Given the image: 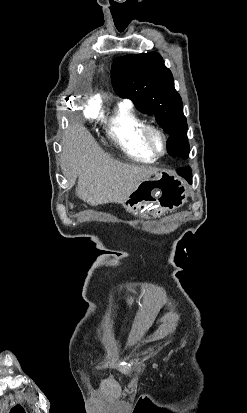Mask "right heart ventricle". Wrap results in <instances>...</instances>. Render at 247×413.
<instances>
[{
  "mask_svg": "<svg viewBox=\"0 0 247 413\" xmlns=\"http://www.w3.org/2000/svg\"><path fill=\"white\" fill-rule=\"evenodd\" d=\"M143 122L132 114L122 112L108 128L109 136L132 160L153 163L156 157L148 153L140 144L139 131Z\"/></svg>",
  "mask_w": 247,
  "mask_h": 413,
  "instance_id": "right-heart-ventricle-1",
  "label": "right heart ventricle"
}]
</instances>
